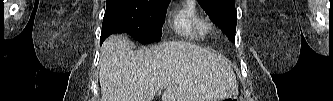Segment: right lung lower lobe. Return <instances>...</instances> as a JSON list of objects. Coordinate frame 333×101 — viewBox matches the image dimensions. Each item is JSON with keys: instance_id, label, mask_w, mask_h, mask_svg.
Segmentation results:
<instances>
[{"instance_id": "1", "label": "right lung lower lobe", "mask_w": 333, "mask_h": 101, "mask_svg": "<svg viewBox=\"0 0 333 101\" xmlns=\"http://www.w3.org/2000/svg\"><path fill=\"white\" fill-rule=\"evenodd\" d=\"M115 27H117V23L105 15L102 25L101 43L110 35L111 31H113Z\"/></svg>"}]
</instances>
